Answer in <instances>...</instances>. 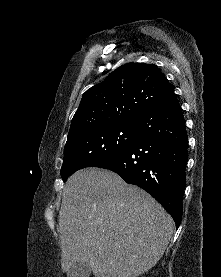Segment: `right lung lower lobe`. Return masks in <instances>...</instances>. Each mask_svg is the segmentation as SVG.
<instances>
[{
    "instance_id": "right-lung-lower-lobe-1",
    "label": "right lung lower lobe",
    "mask_w": 221,
    "mask_h": 277,
    "mask_svg": "<svg viewBox=\"0 0 221 277\" xmlns=\"http://www.w3.org/2000/svg\"><path fill=\"white\" fill-rule=\"evenodd\" d=\"M129 148L97 167L120 175L153 196L172 216L178 228L188 161L185 120L174 94L162 105L140 116Z\"/></svg>"
}]
</instances>
